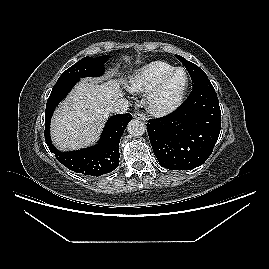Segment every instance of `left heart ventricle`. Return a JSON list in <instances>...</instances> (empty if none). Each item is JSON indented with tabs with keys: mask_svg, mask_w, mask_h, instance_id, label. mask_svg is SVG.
<instances>
[{
	"mask_svg": "<svg viewBox=\"0 0 269 269\" xmlns=\"http://www.w3.org/2000/svg\"><path fill=\"white\" fill-rule=\"evenodd\" d=\"M184 82H185L184 73L178 72L168 83L164 92V99L169 100L173 98L180 91Z\"/></svg>",
	"mask_w": 269,
	"mask_h": 269,
	"instance_id": "1",
	"label": "left heart ventricle"
}]
</instances>
